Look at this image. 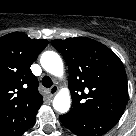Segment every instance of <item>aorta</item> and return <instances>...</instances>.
Returning a JSON list of instances; mask_svg holds the SVG:
<instances>
[{
	"label": "aorta",
	"instance_id": "obj_1",
	"mask_svg": "<svg viewBox=\"0 0 136 136\" xmlns=\"http://www.w3.org/2000/svg\"><path fill=\"white\" fill-rule=\"evenodd\" d=\"M41 66L44 70L54 76L63 74L64 66L61 57L54 51H46L40 58ZM71 105V97L68 90H61L53 100V107L60 113L68 112Z\"/></svg>",
	"mask_w": 136,
	"mask_h": 136
}]
</instances>
